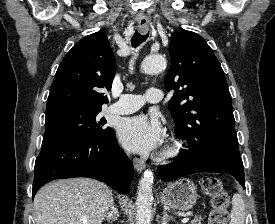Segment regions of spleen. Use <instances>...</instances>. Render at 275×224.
<instances>
[{
    "instance_id": "1",
    "label": "spleen",
    "mask_w": 275,
    "mask_h": 224,
    "mask_svg": "<svg viewBox=\"0 0 275 224\" xmlns=\"http://www.w3.org/2000/svg\"><path fill=\"white\" fill-rule=\"evenodd\" d=\"M230 224H244L245 203L241 194H234L232 198V210Z\"/></svg>"
}]
</instances>
